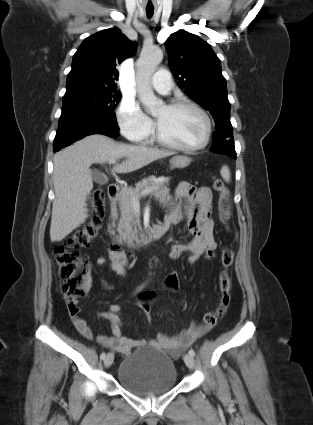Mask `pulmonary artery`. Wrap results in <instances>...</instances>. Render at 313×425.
<instances>
[{
	"mask_svg": "<svg viewBox=\"0 0 313 425\" xmlns=\"http://www.w3.org/2000/svg\"><path fill=\"white\" fill-rule=\"evenodd\" d=\"M152 87L161 94H168L172 89L170 73L166 69H159L151 80Z\"/></svg>",
	"mask_w": 313,
	"mask_h": 425,
	"instance_id": "pulmonary-artery-1",
	"label": "pulmonary artery"
}]
</instances>
